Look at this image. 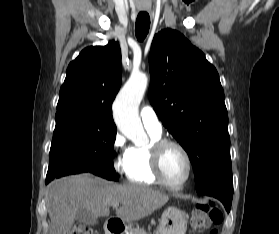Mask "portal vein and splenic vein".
Returning a JSON list of instances; mask_svg holds the SVG:
<instances>
[{
	"instance_id": "portal-vein-and-splenic-vein-1",
	"label": "portal vein and splenic vein",
	"mask_w": 279,
	"mask_h": 234,
	"mask_svg": "<svg viewBox=\"0 0 279 234\" xmlns=\"http://www.w3.org/2000/svg\"><path fill=\"white\" fill-rule=\"evenodd\" d=\"M112 206H113V208H118L119 204L118 203H113Z\"/></svg>"
}]
</instances>
